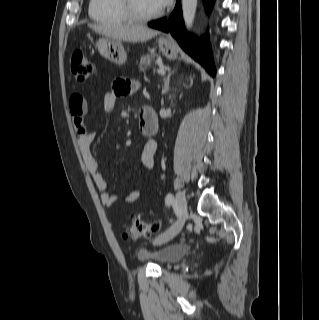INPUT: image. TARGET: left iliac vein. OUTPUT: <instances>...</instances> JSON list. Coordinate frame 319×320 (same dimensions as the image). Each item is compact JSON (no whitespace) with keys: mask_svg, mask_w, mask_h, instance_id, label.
<instances>
[{"mask_svg":"<svg viewBox=\"0 0 319 320\" xmlns=\"http://www.w3.org/2000/svg\"><path fill=\"white\" fill-rule=\"evenodd\" d=\"M175 206L179 212V218L177 222L171 228L168 229L166 234L157 238V241H156L157 244H161L169 241L174 236H176L182 229L187 219V200L184 192L179 191L176 194Z\"/></svg>","mask_w":319,"mask_h":320,"instance_id":"obj_1","label":"left iliac vein"}]
</instances>
